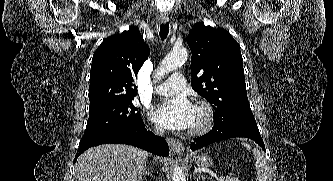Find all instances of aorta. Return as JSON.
Listing matches in <instances>:
<instances>
[{"label":"aorta","instance_id":"obj_1","mask_svg":"<svg viewBox=\"0 0 333 181\" xmlns=\"http://www.w3.org/2000/svg\"><path fill=\"white\" fill-rule=\"evenodd\" d=\"M188 53L185 48L173 50L168 56H166L157 71L156 77H162L165 74L172 72L179 65L187 60ZM172 181H186L183 169L179 166H174Z\"/></svg>","mask_w":333,"mask_h":181}]
</instances>
